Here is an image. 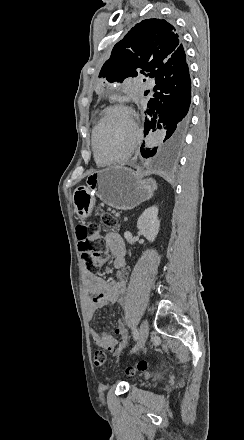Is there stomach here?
<instances>
[{"mask_svg": "<svg viewBox=\"0 0 244 440\" xmlns=\"http://www.w3.org/2000/svg\"><path fill=\"white\" fill-rule=\"evenodd\" d=\"M157 184L152 178H144L142 170L114 166L93 172L86 178V186L75 188L72 196L74 212L78 220H86L93 212L96 198L116 210H132L141 202L150 200Z\"/></svg>", "mask_w": 244, "mask_h": 440, "instance_id": "0dacf381", "label": "stomach"}]
</instances>
